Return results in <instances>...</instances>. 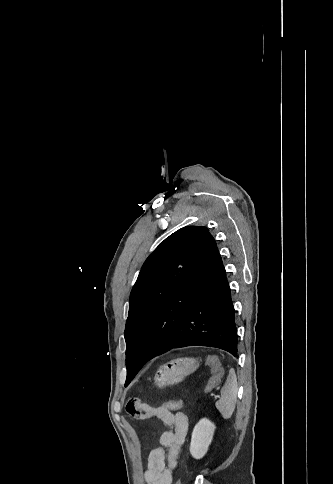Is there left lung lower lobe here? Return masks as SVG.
Masks as SVG:
<instances>
[{
  "label": "left lung lower lobe",
  "instance_id": "1",
  "mask_svg": "<svg viewBox=\"0 0 333 484\" xmlns=\"http://www.w3.org/2000/svg\"><path fill=\"white\" fill-rule=\"evenodd\" d=\"M170 296L173 301L165 300L158 307L140 343L135 355L137 365L187 346L216 347L237 356L235 310L226 272L210 233L174 282Z\"/></svg>",
  "mask_w": 333,
  "mask_h": 484
}]
</instances>
